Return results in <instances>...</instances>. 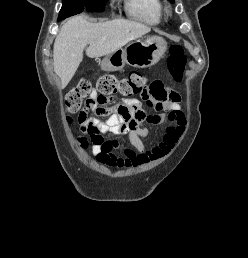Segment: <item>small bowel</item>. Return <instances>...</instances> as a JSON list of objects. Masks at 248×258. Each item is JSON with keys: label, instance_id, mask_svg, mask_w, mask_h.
Here are the masks:
<instances>
[{"label": "small bowel", "instance_id": "c3829d8e", "mask_svg": "<svg viewBox=\"0 0 248 258\" xmlns=\"http://www.w3.org/2000/svg\"><path fill=\"white\" fill-rule=\"evenodd\" d=\"M154 86L157 90L156 96L146 97L149 108L153 110L164 109L167 113L148 114L139 100L131 99L128 101L126 114L111 113L103 106L93 105V109L99 116H108L105 122L89 121L86 119V112L80 116V124L86 132L93 127L102 132L111 129L113 132L120 133L130 131L133 134L131 148L124 149L123 155H118L114 151L119 147L117 141H107L94 143L92 152L100 164L111 167H131L145 165L150 162L161 160L167 157L178 144L185 130L186 120L182 114L179 102L180 95L175 91L168 90L164 85L155 81ZM162 95L160 99L158 96ZM95 93L91 95L90 103L94 102ZM169 122L161 140L150 148H147L140 137H146L149 133L144 125H160Z\"/></svg>", "mask_w": 248, "mask_h": 258}]
</instances>
